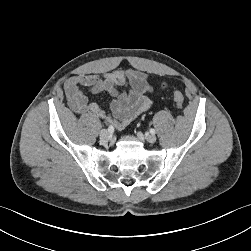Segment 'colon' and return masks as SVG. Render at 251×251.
Returning a JSON list of instances; mask_svg holds the SVG:
<instances>
[{
    "label": "colon",
    "instance_id": "5ec220e1",
    "mask_svg": "<svg viewBox=\"0 0 251 251\" xmlns=\"http://www.w3.org/2000/svg\"><path fill=\"white\" fill-rule=\"evenodd\" d=\"M173 99H174V102L176 103V106L181 109L184 105L183 94L179 90H175L173 92Z\"/></svg>",
    "mask_w": 251,
    "mask_h": 251
}]
</instances>
